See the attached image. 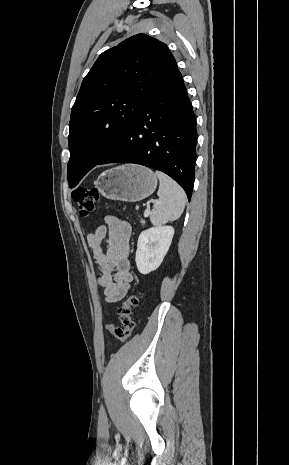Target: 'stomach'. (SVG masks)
I'll return each instance as SVG.
<instances>
[{
    "label": "stomach",
    "mask_w": 289,
    "mask_h": 465,
    "mask_svg": "<svg viewBox=\"0 0 289 465\" xmlns=\"http://www.w3.org/2000/svg\"><path fill=\"white\" fill-rule=\"evenodd\" d=\"M95 186L107 199L137 202L155 191L157 178L149 168L125 164L101 173Z\"/></svg>",
    "instance_id": "stomach-1"
}]
</instances>
